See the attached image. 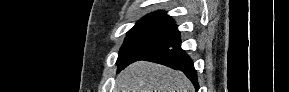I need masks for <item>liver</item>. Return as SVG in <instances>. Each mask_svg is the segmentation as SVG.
I'll list each match as a JSON object with an SVG mask.
<instances>
[{
  "instance_id": "liver-1",
  "label": "liver",
  "mask_w": 289,
  "mask_h": 92,
  "mask_svg": "<svg viewBox=\"0 0 289 92\" xmlns=\"http://www.w3.org/2000/svg\"><path fill=\"white\" fill-rule=\"evenodd\" d=\"M117 92H194V88L182 72L138 61L118 75Z\"/></svg>"
}]
</instances>
